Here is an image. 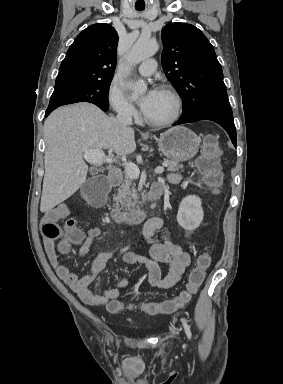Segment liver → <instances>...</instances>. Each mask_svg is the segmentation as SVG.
Listing matches in <instances>:
<instances>
[{
    "label": "liver",
    "mask_w": 283,
    "mask_h": 384,
    "mask_svg": "<svg viewBox=\"0 0 283 384\" xmlns=\"http://www.w3.org/2000/svg\"><path fill=\"white\" fill-rule=\"evenodd\" d=\"M134 134L133 128L121 126L94 104L81 102L54 110L44 122L47 150L40 212H50L84 184L86 150H114L117 156H127L136 150Z\"/></svg>",
    "instance_id": "liver-1"
}]
</instances>
